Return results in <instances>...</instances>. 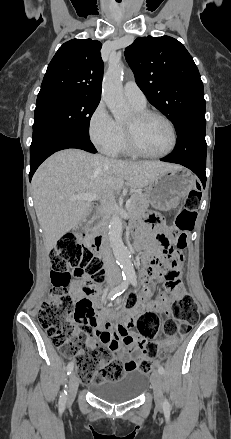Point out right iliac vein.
<instances>
[{"mask_svg": "<svg viewBox=\"0 0 231 439\" xmlns=\"http://www.w3.org/2000/svg\"><path fill=\"white\" fill-rule=\"evenodd\" d=\"M79 382L76 377V374L73 372L70 375L69 380V390H68V401H72L74 397L76 396L77 390H78Z\"/></svg>", "mask_w": 231, "mask_h": 439, "instance_id": "right-iliac-vein-1", "label": "right iliac vein"}]
</instances>
